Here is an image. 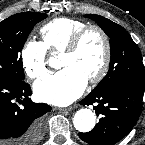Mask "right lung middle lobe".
Returning a JSON list of instances; mask_svg holds the SVG:
<instances>
[{"mask_svg":"<svg viewBox=\"0 0 145 145\" xmlns=\"http://www.w3.org/2000/svg\"><path fill=\"white\" fill-rule=\"evenodd\" d=\"M46 17L44 13L23 12L0 22V80H24L20 52L33 27Z\"/></svg>","mask_w":145,"mask_h":145,"instance_id":"dd1d6c3e","label":"right lung middle lobe"}]
</instances>
